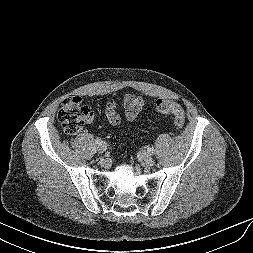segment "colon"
<instances>
[{
	"instance_id": "1",
	"label": "colon",
	"mask_w": 253,
	"mask_h": 253,
	"mask_svg": "<svg viewBox=\"0 0 253 253\" xmlns=\"http://www.w3.org/2000/svg\"><path fill=\"white\" fill-rule=\"evenodd\" d=\"M156 110L161 114H171L174 123L181 127L185 122V111L177 102L169 99H159L156 102ZM94 118L90 108L83 104L79 97L66 99L58 112V119L68 134H76L81 131L86 123Z\"/></svg>"
}]
</instances>
